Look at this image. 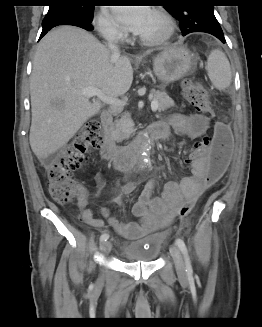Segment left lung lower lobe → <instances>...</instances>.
<instances>
[{
	"mask_svg": "<svg viewBox=\"0 0 262 327\" xmlns=\"http://www.w3.org/2000/svg\"><path fill=\"white\" fill-rule=\"evenodd\" d=\"M215 37H217L222 43H226V40H225V38H224V35L223 36H221V35H216Z\"/></svg>",
	"mask_w": 262,
	"mask_h": 327,
	"instance_id": "obj_1",
	"label": "left lung lower lobe"
}]
</instances>
